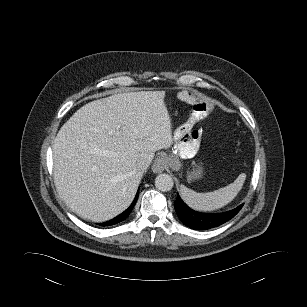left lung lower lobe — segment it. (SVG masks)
<instances>
[{"label":"left lung lower lobe","mask_w":307,"mask_h":307,"mask_svg":"<svg viewBox=\"0 0 307 307\" xmlns=\"http://www.w3.org/2000/svg\"><path fill=\"white\" fill-rule=\"evenodd\" d=\"M242 206L243 204L223 213L208 214L192 210L182 201L178 194L174 203L179 219L188 227L196 230H207L224 224L232 219L241 210Z\"/></svg>","instance_id":"left-lung-lower-lobe-1"}]
</instances>
